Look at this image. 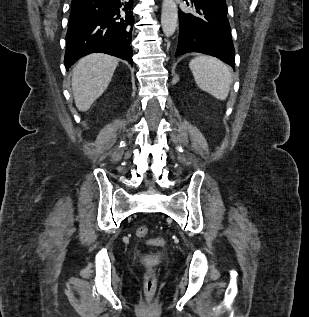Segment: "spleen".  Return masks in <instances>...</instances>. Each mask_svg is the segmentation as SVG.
<instances>
[{
  "label": "spleen",
  "mask_w": 309,
  "mask_h": 317,
  "mask_svg": "<svg viewBox=\"0 0 309 317\" xmlns=\"http://www.w3.org/2000/svg\"><path fill=\"white\" fill-rule=\"evenodd\" d=\"M189 67L200 89L219 100L228 97L232 75L226 64L214 57L199 56L191 60Z\"/></svg>",
  "instance_id": "obj_1"
}]
</instances>
